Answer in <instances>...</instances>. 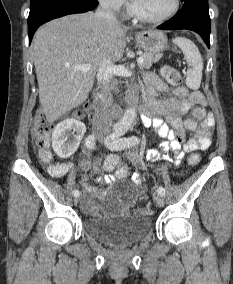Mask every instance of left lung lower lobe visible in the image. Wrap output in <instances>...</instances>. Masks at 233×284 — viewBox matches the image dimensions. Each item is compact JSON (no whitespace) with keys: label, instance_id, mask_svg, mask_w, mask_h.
<instances>
[{"label":"left lung lower lobe","instance_id":"obj_1","mask_svg":"<svg viewBox=\"0 0 233 284\" xmlns=\"http://www.w3.org/2000/svg\"><path fill=\"white\" fill-rule=\"evenodd\" d=\"M210 16L208 0H187L173 18L158 26L163 30L188 29L197 32L210 47Z\"/></svg>","mask_w":233,"mask_h":284}]
</instances>
